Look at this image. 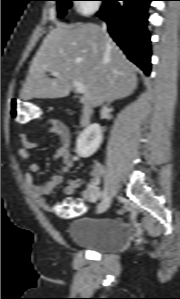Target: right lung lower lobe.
Wrapping results in <instances>:
<instances>
[{
  "instance_id": "obj_1",
  "label": "right lung lower lobe",
  "mask_w": 180,
  "mask_h": 299,
  "mask_svg": "<svg viewBox=\"0 0 180 299\" xmlns=\"http://www.w3.org/2000/svg\"><path fill=\"white\" fill-rule=\"evenodd\" d=\"M103 0L98 16L127 57L146 75L151 69L150 36L146 28L147 9L152 0Z\"/></svg>"
}]
</instances>
